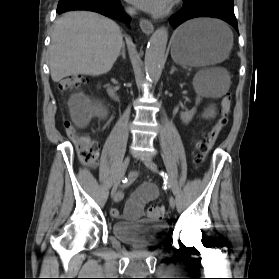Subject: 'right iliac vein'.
Here are the masks:
<instances>
[{"mask_svg":"<svg viewBox=\"0 0 279 279\" xmlns=\"http://www.w3.org/2000/svg\"><path fill=\"white\" fill-rule=\"evenodd\" d=\"M129 162H130V157L129 156L125 157V159L122 162V165H121L118 177H117V179H116V181H115V183H114V185H113V187L111 189V196L112 197H115L117 195L118 188H119V186L121 184V181H122V179H123V177L125 175L127 167L129 165Z\"/></svg>","mask_w":279,"mask_h":279,"instance_id":"1","label":"right iliac vein"}]
</instances>
